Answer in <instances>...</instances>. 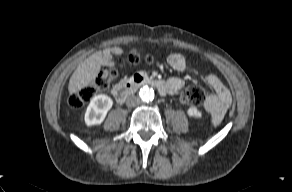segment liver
I'll use <instances>...</instances> for the list:
<instances>
[{
  "instance_id": "6515ba94",
  "label": "liver",
  "mask_w": 292,
  "mask_h": 192,
  "mask_svg": "<svg viewBox=\"0 0 292 192\" xmlns=\"http://www.w3.org/2000/svg\"><path fill=\"white\" fill-rule=\"evenodd\" d=\"M102 60V53L96 52L79 64L69 80L68 91L70 94L83 89L96 79L101 69Z\"/></svg>"
}]
</instances>
